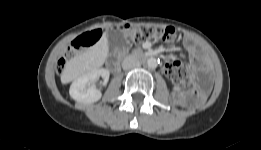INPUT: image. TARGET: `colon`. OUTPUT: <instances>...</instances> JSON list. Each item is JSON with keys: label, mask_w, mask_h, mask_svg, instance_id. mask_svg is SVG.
Wrapping results in <instances>:
<instances>
[{"label": "colon", "mask_w": 261, "mask_h": 150, "mask_svg": "<svg viewBox=\"0 0 261 150\" xmlns=\"http://www.w3.org/2000/svg\"><path fill=\"white\" fill-rule=\"evenodd\" d=\"M120 29L129 40L135 43H141L147 40H162L166 42H176L178 40V33L176 29L172 27L124 25L120 27ZM104 33V29H93L75 39L70 45L66 57L58 62L57 72L59 74L64 73L68 59L94 45L101 39ZM165 73L177 86L184 87L188 84V71L184 63L180 60H174L166 64Z\"/></svg>", "instance_id": "5ec220e1"}]
</instances>
